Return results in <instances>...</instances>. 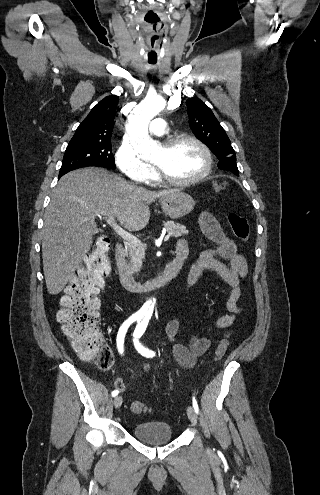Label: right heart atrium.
I'll list each match as a JSON object with an SVG mask.
<instances>
[{
  "label": "right heart atrium",
  "instance_id": "obj_1",
  "mask_svg": "<svg viewBox=\"0 0 320 495\" xmlns=\"http://www.w3.org/2000/svg\"><path fill=\"white\" fill-rule=\"evenodd\" d=\"M115 159L121 172L130 179L147 183L156 177L153 168L137 156L133 146L127 140L121 142Z\"/></svg>",
  "mask_w": 320,
  "mask_h": 495
}]
</instances>
